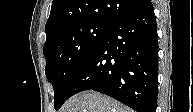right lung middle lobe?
Segmentation results:
<instances>
[{
	"label": "right lung middle lobe",
	"instance_id": "obj_1",
	"mask_svg": "<svg viewBox=\"0 0 193 112\" xmlns=\"http://www.w3.org/2000/svg\"><path fill=\"white\" fill-rule=\"evenodd\" d=\"M107 28L97 23H79L60 30L45 42V73L54 87L56 110L69 98L78 73Z\"/></svg>",
	"mask_w": 193,
	"mask_h": 112
}]
</instances>
